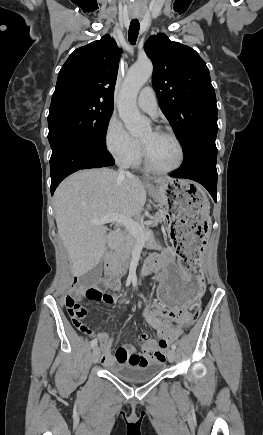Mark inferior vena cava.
Wrapping results in <instances>:
<instances>
[{"label": "inferior vena cava", "mask_w": 263, "mask_h": 435, "mask_svg": "<svg viewBox=\"0 0 263 435\" xmlns=\"http://www.w3.org/2000/svg\"><path fill=\"white\" fill-rule=\"evenodd\" d=\"M119 175L121 176H125V175H131L128 171H125L123 169H119L118 170Z\"/></svg>", "instance_id": "obj_1"}]
</instances>
